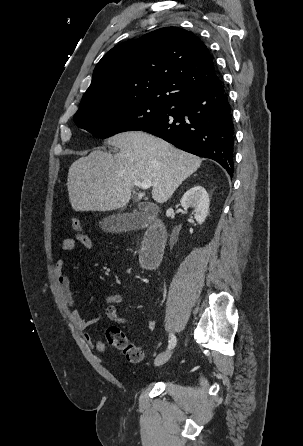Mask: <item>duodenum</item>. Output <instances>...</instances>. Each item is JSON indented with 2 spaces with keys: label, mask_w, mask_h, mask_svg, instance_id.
Here are the masks:
<instances>
[{
  "label": "duodenum",
  "mask_w": 303,
  "mask_h": 446,
  "mask_svg": "<svg viewBox=\"0 0 303 446\" xmlns=\"http://www.w3.org/2000/svg\"><path fill=\"white\" fill-rule=\"evenodd\" d=\"M167 242L165 226L159 220L154 221L145 231L139 253L143 267L155 268L161 261Z\"/></svg>",
  "instance_id": "duodenum-1"
}]
</instances>
